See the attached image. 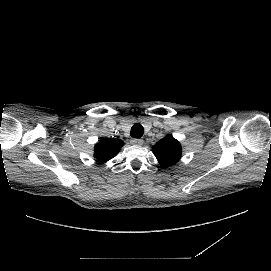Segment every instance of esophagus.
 <instances>
[{
	"label": "esophagus",
	"mask_w": 271,
	"mask_h": 271,
	"mask_svg": "<svg viewBox=\"0 0 271 271\" xmlns=\"http://www.w3.org/2000/svg\"><path fill=\"white\" fill-rule=\"evenodd\" d=\"M130 143H131L132 145H138V146H141V145H143L144 141H143V139L132 138V139L130 140Z\"/></svg>",
	"instance_id": "esophagus-1"
}]
</instances>
